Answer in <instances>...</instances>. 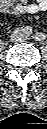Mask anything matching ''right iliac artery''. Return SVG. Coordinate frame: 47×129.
I'll list each match as a JSON object with an SVG mask.
<instances>
[{"label":"right iliac artery","mask_w":47,"mask_h":129,"mask_svg":"<svg viewBox=\"0 0 47 129\" xmlns=\"http://www.w3.org/2000/svg\"><path fill=\"white\" fill-rule=\"evenodd\" d=\"M25 31L27 34H31L32 33V29L30 27H26Z\"/></svg>","instance_id":"right-iliac-artery-1"}]
</instances>
